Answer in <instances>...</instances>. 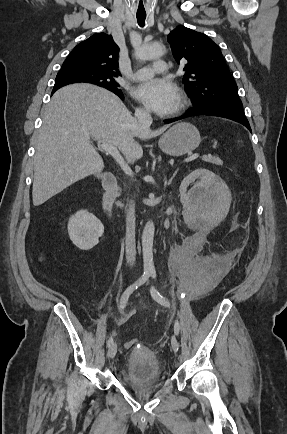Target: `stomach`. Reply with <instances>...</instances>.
I'll return each instance as SVG.
<instances>
[{
	"label": "stomach",
	"instance_id": "0dacf381",
	"mask_svg": "<svg viewBox=\"0 0 287 434\" xmlns=\"http://www.w3.org/2000/svg\"><path fill=\"white\" fill-rule=\"evenodd\" d=\"M200 142L197 128L190 123L181 122L166 131L158 144L167 155L180 156L195 150Z\"/></svg>",
	"mask_w": 287,
	"mask_h": 434
}]
</instances>
